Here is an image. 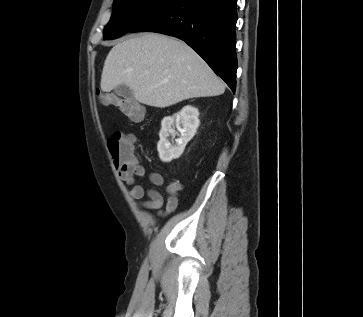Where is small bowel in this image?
<instances>
[{"label":"small bowel","mask_w":363,"mask_h":317,"mask_svg":"<svg viewBox=\"0 0 363 317\" xmlns=\"http://www.w3.org/2000/svg\"><path fill=\"white\" fill-rule=\"evenodd\" d=\"M118 173L119 177L130 187V197L137 201L142 208L158 211L159 214H169L177 209L178 193L182 189V184L179 181L173 180L168 183L166 187V208L162 211L161 207L164 204V198L161 193L155 189L146 191L141 184H136V178L145 175V167L142 164L137 163L135 166H128L126 168L120 166ZM149 179L155 186H161L165 182L164 176L159 172L151 173ZM145 195L148 197L146 200L143 199Z\"/></svg>","instance_id":"small-bowel-1"}]
</instances>
